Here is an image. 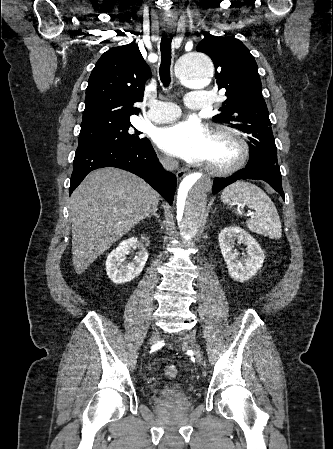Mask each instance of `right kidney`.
Segmentation results:
<instances>
[{"mask_svg": "<svg viewBox=\"0 0 333 449\" xmlns=\"http://www.w3.org/2000/svg\"><path fill=\"white\" fill-rule=\"evenodd\" d=\"M139 248L133 262H126V255L131 248ZM148 259V252L137 238H129L123 241L116 249L112 250L106 260V272L115 284L130 282L142 272Z\"/></svg>", "mask_w": 333, "mask_h": 449, "instance_id": "ca27d5eb", "label": "right kidney"}]
</instances>
